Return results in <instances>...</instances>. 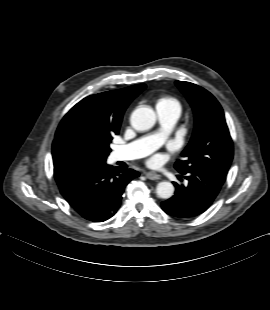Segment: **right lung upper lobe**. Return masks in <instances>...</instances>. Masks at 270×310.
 I'll return each mask as SVG.
<instances>
[{
	"label": "right lung upper lobe",
	"instance_id": "1",
	"mask_svg": "<svg viewBox=\"0 0 270 310\" xmlns=\"http://www.w3.org/2000/svg\"><path fill=\"white\" fill-rule=\"evenodd\" d=\"M145 87L139 84L91 95L72 107L55 134L52 146L54 167L84 163L88 132L118 134L125 109Z\"/></svg>",
	"mask_w": 270,
	"mask_h": 310
}]
</instances>
